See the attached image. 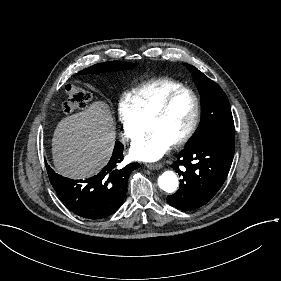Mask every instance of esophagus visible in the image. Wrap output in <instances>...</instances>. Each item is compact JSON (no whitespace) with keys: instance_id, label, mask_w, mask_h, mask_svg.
<instances>
[{"instance_id":"34e87169","label":"esophagus","mask_w":281,"mask_h":281,"mask_svg":"<svg viewBox=\"0 0 281 281\" xmlns=\"http://www.w3.org/2000/svg\"><path fill=\"white\" fill-rule=\"evenodd\" d=\"M147 167L151 170H159L162 165L161 164H148Z\"/></svg>"}]
</instances>
